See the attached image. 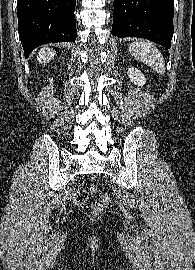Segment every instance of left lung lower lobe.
Returning a JSON list of instances; mask_svg holds the SVG:
<instances>
[{"label": "left lung lower lobe", "mask_w": 195, "mask_h": 270, "mask_svg": "<svg viewBox=\"0 0 195 270\" xmlns=\"http://www.w3.org/2000/svg\"><path fill=\"white\" fill-rule=\"evenodd\" d=\"M112 34L148 39L166 48L173 36V0H114Z\"/></svg>", "instance_id": "1"}]
</instances>
